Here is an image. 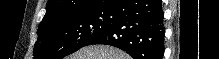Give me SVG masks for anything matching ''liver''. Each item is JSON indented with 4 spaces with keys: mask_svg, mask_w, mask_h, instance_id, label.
I'll list each match as a JSON object with an SVG mask.
<instances>
[{
    "mask_svg": "<svg viewBox=\"0 0 219 59\" xmlns=\"http://www.w3.org/2000/svg\"><path fill=\"white\" fill-rule=\"evenodd\" d=\"M67 59H131L125 52L110 46H86Z\"/></svg>",
    "mask_w": 219,
    "mask_h": 59,
    "instance_id": "obj_1",
    "label": "liver"
}]
</instances>
